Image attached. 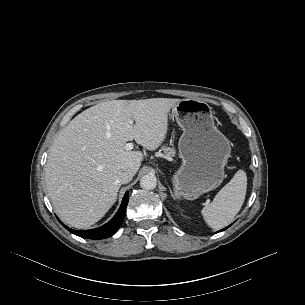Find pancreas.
Returning a JSON list of instances; mask_svg holds the SVG:
<instances>
[{"instance_id":"obj_1","label":"pancreas","mask_w":305,"mask_h":305,"mask_svg":"<svg viewBox=\"0 0 305 305\" xmlns=\"http://www.w3.org/2000/svg\"><path fill=\"white\" fill-rule=\"evenodd\" d=\"M162 150L164 151V154L167 156V157H172L175 155V149L174 148H171V147H167V146H163L162 147Z\"/></svg>"}]
</instances>
